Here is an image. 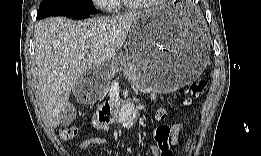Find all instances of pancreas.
Masks as SVG:
<instances>
[{
  "mask_svg": "<svg viewBox=\"0 0 261 156\" xmlns=\"http://www.w3.org/2000/svg\"><path fill=\"white\" fill-rule=\"evenodd\" d=\"M138 72V67L133 63H122L119 66L113 67L110 71V77L115 75H133L136 76Z\"/></svg>",
  "mask_w": 261,
  "mask_h": 156,
  "instance_id": "cf45deb5",
  "label": "pancreas"
}]
</instances>
